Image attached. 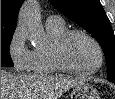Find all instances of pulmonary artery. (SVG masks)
<instances>
[{"mask_svg":"<svg viewBox=\"0 0 115 99\" xmlns=\"http://www.w3.org/2000/svg\"><path fill=\"white\" fill-rule=\"evenodd\" d=\"M62 21V18L58 15H49L46 19V22H59Z\"/></svg>","mask_w":115,"mask_h":99,"instance_id":"pulmonary-artery-1","label":"pulmonary artery"}]
</instances>
